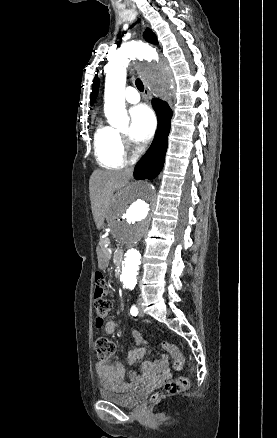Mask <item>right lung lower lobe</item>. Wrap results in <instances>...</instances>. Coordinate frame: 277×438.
Instances as JSON below:
<instances>
[{"label":"right lung lower lobe","mask_w":277,"mask_h":438,"mask_svg":"<svg viewBox=\"0 0 277 438\" xmlns=\"http://www.w3.org/2000/svg\"><path fill=\"white\" fill-rule=\"evenodd\" d=\"M153 107L158 117V130L147 151L134 169L135 179H153L162 170L168 145L172 110L169 105L159 99L153 100Z\"/></svg>","instance_id":"98d812e1"}]
</instances>
